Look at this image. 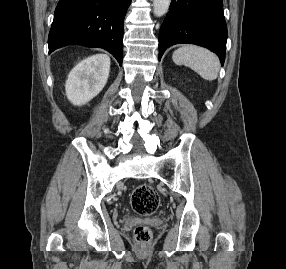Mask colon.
Instances as JSON below:
<instances>
[{
  "label": "colon",
  "instance_id": "1",
  "mask_svg": "<svg viewBox=\"0 0 286 269\" xmlns=\"http://www.w3.org/2000/svg\"><path fill=\"white\" fill-rule=\"evenodd\" d=\"M130 203L133 210L140 215L153 214L160 205L157 192L147 184L138 185L132 192ZM135 240L139 245H145L150 240V230L145 226H138L134 232Z\"/></svg>",
  "mask_w": 286,
  "mask_h": 269
}]
</instances>
